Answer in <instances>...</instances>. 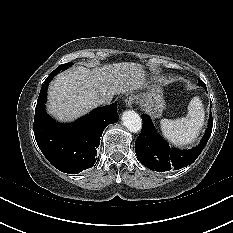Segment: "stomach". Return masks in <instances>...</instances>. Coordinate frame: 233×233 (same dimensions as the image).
<instances>
[{"instance_id": "obj_1", "label": "stomach", "mask_w": 233, "mask_h": 233, "mask_svg": "<svg viewBox=\"0 0 233 233\" xmlns=\"http://www.w3.org/2000/svg\"><path fill=\"white\" fill-rule=\"evenodd\" d=\"M137 101L152 118L160 117L165 108L162 89L157 86L150 87L145 94L137 97Z\"/></svg>"}]
</instances>
